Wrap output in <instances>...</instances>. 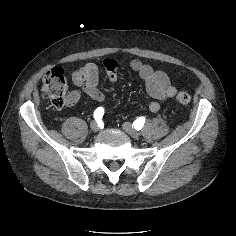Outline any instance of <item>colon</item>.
<instances>
[{"instance_id": "5ec220e1", "label": "colon", "mask_w": 236, "mask_h": 236, "mask_svg": "<svg viewBox=\"0 0 236 236\" xmlns=\"http://www.w3.org/2000/svg\"><path fill=\"white\" fill-rule=\"evenodd\" d=\"M42 91L55 108L63 109L68 105V80L61 68H53L44 75ZM175 99L183 105L191 102L190 94L184 91L178 92Z\"/></svg>"}]
</instances>
